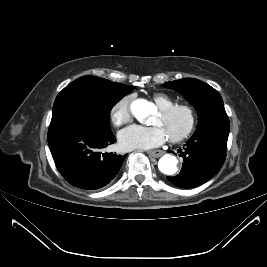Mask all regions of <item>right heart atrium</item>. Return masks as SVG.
Here are the masks:
<instances>
[{"instance_id": "d8ad5b80", "label": "right heart atrium", "mask_w": 267, "mask_h": 267, "mask_svg": "<svg viewBox=\"0 0 267 267\" xmlns=\"http://www.w3.org/2000/svg\"><path fill=\"white\" fill-rule=\"evenodd\" d=\"M131 98L125 96L118 100L110 111V119L116 127L123 126L131 121V109H130Z\"/></svg>"}]
</instances>
